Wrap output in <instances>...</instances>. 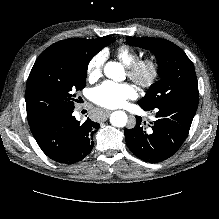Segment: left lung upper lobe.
Returning <instances> with one entry per match:
<instances>
[{"instance_id": "obj_1", "label": "left lung upper lobe", "mask_w": 219, "mask_h": 219, "mask_svg": "<svg viewBox=\"0 0 219 219\" xmlns=\"http://www.w3.org/2000/svg\"><path fill=\"white\" fill-rule=\"evenodd\" d=\"M137 47L152 51L159 64L162 79L150 86L139 105L157 107L186 98H198L195 69L185 52L174 43L160 38L127 37Z\"/></svg>"}]
</instances>
